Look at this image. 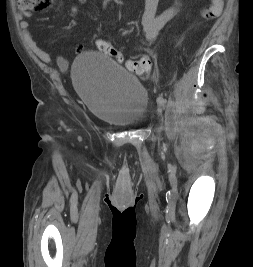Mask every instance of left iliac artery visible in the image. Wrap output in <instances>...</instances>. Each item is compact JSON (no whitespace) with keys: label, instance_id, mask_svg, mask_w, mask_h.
Here are the masks:
<instances>
[{"label":"left iliac artery","instance_id":"44dca946","mask_svg":"<svg viewBox=\"0 0 253 267\" xmlns=\"http://www.w3.org/2000/svg\"><path fill=\"white\" fill-rule=\"evenodd\" d=\"M157 102L160 104V105H165V103H166V100L163 98V97H158L157 98Z\"/></svg>","mask_w":253,"mask_h":267}]
</instances>
